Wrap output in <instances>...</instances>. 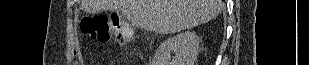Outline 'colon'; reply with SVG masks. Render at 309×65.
<instances>
[{
	"mask_svg": "<svg viewBox=\"0 0 309 65\" xmlns=\"http://www.w3.org/2000/svg\"><path fill=\"white\" fill-rule=\"evenodd\" d=\"M79 26L84 38L98 43H107L114 39L125 45L134 39L130 29L120 24L112 15H85L81 18Z\"/></svg>",
	"mask_w": 309,
	"mask_h": 65,
	"instance_id": "colon-1",
	"label": "colon"
}]
</instances>
